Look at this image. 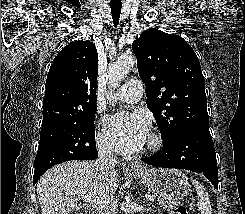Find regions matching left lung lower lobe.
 Wrapping results in <instances>:
<instances>
[{"label": "left lung lower lobe", "instance_id": "obj_1", "mask_svg": "<svg viewBox=\"0 0 245 214\" xmlns=\"http://www.w3.org/2000/svg\"><path fill=\"white\" fill-rule=\"evenodd\" d=\"M141 160L155 167L202 173L215 188L218 187L216 154L208 126L189 128L161 151Z\"/></svg>", "mask_w": 245, "mask_h": 214}]
</instances>
